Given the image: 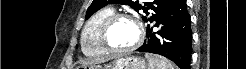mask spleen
<instances>
[{
    "mask_svg": "<svg viewBox=\"0 0 246 69\" xmlns=\"http://www.w3.org/2000/svg\"><path fill=\"white\" fill-rule=\"evenodd\" d=\"M145 57L148 61L149 69H176L165 57L146 53Z\"/></svg>",
    "mask_w": 246,
    "mask_h": 69,
    "instance_id": "3e777b00",
    "label": "spleen"
}]
</instances>
